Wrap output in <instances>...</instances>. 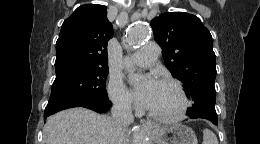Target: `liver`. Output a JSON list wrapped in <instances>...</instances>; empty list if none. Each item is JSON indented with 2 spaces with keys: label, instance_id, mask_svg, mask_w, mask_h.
I'll list each match as a JSON object with an SVG mask.
<instances>
[{
  "label": "liver",
  "instance_id": "obj_1",
  "mask_svg": "<svg viewBox=\"0 0 260 144\" xmlns=\"http://www.w3.org/2000/svg\"><path fill=\"white\" fill-rule=\"evenodd\" d=\"M125 132L116 130L112 117L82 107L50 116L44 127L45 144H122Z\"/></svg>",
  "mask_w": 260,
  "mask_h": 144
}]
</instances>
